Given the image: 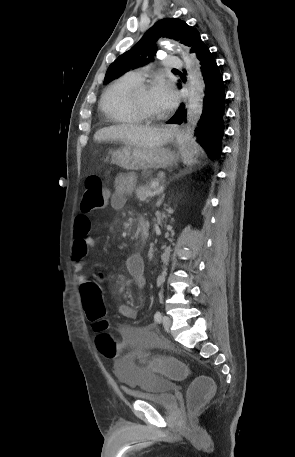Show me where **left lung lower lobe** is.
<instances>
[{
  "label": "left lung lower lobe",
  "mask_w": 295,
  "mask_h": 457,
  "mask_svg": "<svg viewBox=\"0 0 295 457\" xmlns=\"http://www.w3.org/2000/svg\"><path fill=\"white\" fill-rule=\"evenodd\" d=\"M198 58L205 83L203 111L195 130L196 142L205 150L210 159H217L221 153V140L224 134L225 90L218 65L209 48L198 39L190 50ZM180 86V85H179ZM186 122L183 104L167 123Z\"/></svg>",
  "instance_id": "obj_1"
}]
</instances>
